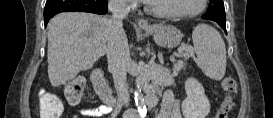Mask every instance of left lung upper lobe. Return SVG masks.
I'll use <instances>...</instances> for the list:
<instances>
[{
  "mask_svg": "<svg viewBox=\"0 0 273 118\" xmlns=\"http://www.w3.org/2000/svg\"><path fill=\"white\" fill-rule=\"evenodd\" d=\"M202 18L215 22H226L223 0H210L209 7Z\"/></svg>",
  "mask_w": 273,
  "mask_h": 118,
  "instance_id": "obj_1",
  "label": "left lung upper lobe"
}]
</instances>
